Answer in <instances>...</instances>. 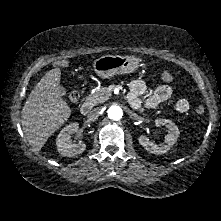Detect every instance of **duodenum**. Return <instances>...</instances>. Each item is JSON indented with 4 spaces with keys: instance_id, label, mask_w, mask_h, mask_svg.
Masks as SVG:
<instances>
[{
    "instance_id": "410a0bca",
    "label": "duodenum",
    "mask_w": 221,
    "mask_h": 221,
    "mask_svg": "<svg viewBox=\"0 0 221 221\" xmlns=\"http://www.w3.org/2000/svg\"><path fill=\"white\" fill-rule=\"evenodd\" d=\"M91 109V103L86 101L80 107V112L83 115H87Z\"/></svg>"
}]
</instances>
